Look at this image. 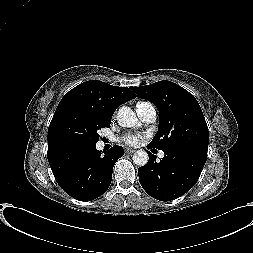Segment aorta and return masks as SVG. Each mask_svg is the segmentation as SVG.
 <instances>
[{"label":"aorta","mask_w":253,"mask_h":253,"mask_svg":"<svg viewBox=\"0 0 253 253\" xmlns=\"http://www.w3.org/2000/svg\"><path fill=\"white\" fill-rule=\"evenodd\" d=\"M118 124L122 127H133L137 123V117L134 111L129 107H121L117 113ZM133 162L138 166L147 164L149 157L146 151L138 150L134 153Z\"/></svg>","instance_id":"762f6f07"}]
</instances>
